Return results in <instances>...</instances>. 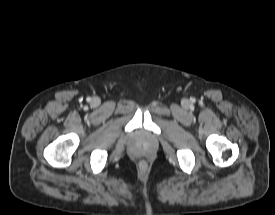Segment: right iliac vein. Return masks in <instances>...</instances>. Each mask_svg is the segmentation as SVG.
<instances>
[{
    "mask_svg": "<svg viewBox=\"0 0 275 215\" xmlns=\"http://www.w3.org/2000/svg\"><path fill=\"white\" fill-rule=\"evenodd\" d=\"M93 103H94V104H99V99L95 98V99L93 100Z\"/></svg>",
    "mask_w": 275,
    "mask_h": 215,
    "instance_id": "63e3f726",
    "label": "right iliac vein"
}]
</instances>
